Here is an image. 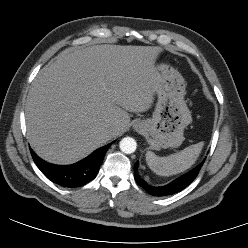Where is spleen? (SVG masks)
Returning a JSON list of instances; mask_svg holds the SVG:
<instances>
[{"label": "spleen", "instance_id": "spleen-1", "mask_svg": "<svg viewBox=\"0 0 248 248\" xmlns=\"http://www.w3.org/2000/svg\"><path fill=\"white\" fill-rule=\"evenodd\" d=\"M204 146L203 142L186 147L182 151L169 156L159 157L155 153H146L149 168L160 176H171L189 169L199 157Z\"/></svg>", "mask_w": 248, "mask_h": 248}]
</instances>
